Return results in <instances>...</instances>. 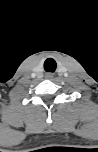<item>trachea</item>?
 <instances>
[{
  "label": "trachea",
  "instance_id": "trachea-1",
  "mask_svg": "<svg viewBox=\"0 0 98 152\" xmlns=\"http://www.w3.org/2000/svg\"><path fill=\"white\" fill-rule=\"evenodd\" d=\"M57 64L54 59L48 58L44 62V69L46 72H54L56 70Z\"/></svg>",
  "mask_w": 98,
  "mask_h": 152
}]
</instances>
